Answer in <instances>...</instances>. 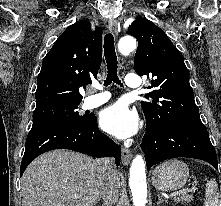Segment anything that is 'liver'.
I'll list each match as a JSON object with an SVG mask.
<instances>
[{"instance_id": "liver-1", "label": "liver", "mask_w": 221, "mask_h": 206, "mask_svg": "<svg viewBox=\"0 0 221 206\" xmlns=\"http://www.w3.org/2000/svg\"><path fill=\"white\" fill-rule=\"evenodd\" d=\"M103 177L100 159L68 150L45 153L23 174L22 206H95Z\"/></svg>"}]
</instances>
